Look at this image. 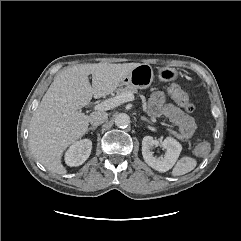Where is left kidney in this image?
Masks as SVG:
<instances>
[{"mask_svg":"<svg viewBox=\"0 0 241 241\" xmlns=\"http://www.w3.org/2000/svg\"><path fill=\"white\" fill-rule=\"evenodd\" d=\"M154 146H161L166 150L164 157L156 158L153 156L152 149ZM181 150V144L171 137H167L164 141H159L152 136H145L142 140V155L144 161L159 172L170 170L177 161Z\"/></svg>","mask_w":241,"mask_h":241,"instance_id":"obj_1","label":"left kidney"}]
</instances>
